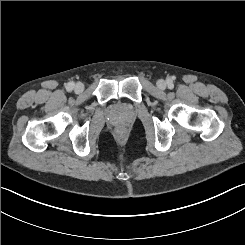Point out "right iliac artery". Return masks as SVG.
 <instances>
[{"instance_id":"82829eb1","label":"right iliac artery","mask_w":245,"mask_h":245,"mask_svg":"<svg viewBox=\"0 0 245 245\" xmlns=\"http://www.w3.org/2000/svg\"><path fill=\"white\" fill-rule=\"evenodd\" d=\"M74 83L73 82H69L68 84H67V90L68 91H70V90H72L73 88H74Z\"/></svg>"}]
</instances>
